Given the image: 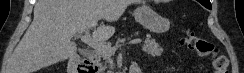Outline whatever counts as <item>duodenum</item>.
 Returning <instances> with one entry per match:
<instances>
[{"instance_id": "duodenum-1", "label": "duodenum", "mask_w": 244, "mask_h": 73, "mask_svg": "<svg viewBox=\"0 0 244 73\" xmlns=\"http://www.w3.org/2000/svg\"><path fill=\"white\" fill-rule=\"evenodd\" d=\"M134 66L130 69V73H134ZM68 73H95V65L75 54L69 60Z\"/></svg>"}]
</instances>
